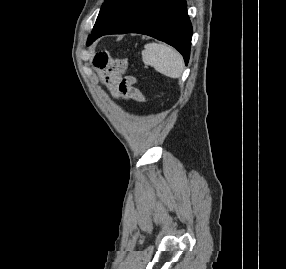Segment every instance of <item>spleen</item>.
I'll return each instance as SVG.
<instances>
[{
    "label": "spleen",
    "mask_w": 286,
    "mask_h": 269,
    "mask_svg": "<svg viewBox=\"0 0 286 269\" xmlns=\"http://www.w3.org/2000/svg\"><path fill=\"white\" fill-rule=\"evenodd\" d=\"M142 60L151 65L156 71L171 78H179L183 71V58L173 48L157 43H149L144 46Z\"/></svg>",
    "instance_id": "3e777b00"
}]
</instances>
